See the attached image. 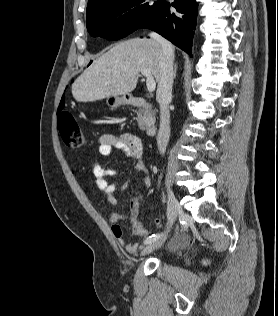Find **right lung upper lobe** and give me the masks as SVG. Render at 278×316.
<instances>
[{
  "mask_svg": "<svg viewBox=\"0 0 278 316\" xmlns=\"http://www.w3.org/2000/svg\"><path fill=\"white\" fill-rule=\"evenodd\" d=\"M107 1H110V0H88V5H87V12L92 9L93 7L99 5V4H102V3H105Z\"/></svg>",
  "mask_w": 278,
  "mask_h": 316,
  "instance_id": "cb5924a9",
  "label": "right lung upper lobe"
}]
</instances>
